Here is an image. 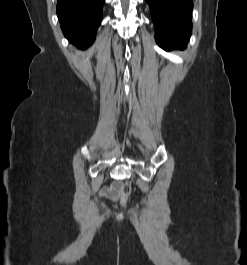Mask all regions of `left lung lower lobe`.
Listing matches in <instances>:
<instances>
[{
  "instance_id": "1",
  "label": "left lung lower lobe",
  "mask_w": 247,
  "mask_h": 265,
  "mask_svg": "<svg viewBox=\"0 0 247 265\" xmlns=\"http://www.w3.org/2000/svg\"><path fill=\"white\" fill-rule=\"evenodd\" d=\"M154 22L155 38L165 50L185 48L192 22V0H146Z\"/></svg>"
}]
</instances>
